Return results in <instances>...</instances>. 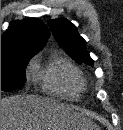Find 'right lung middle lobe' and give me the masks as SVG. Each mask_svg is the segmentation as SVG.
<instances>
[{
  "instance_id": "dd1d6c3e",
  "label": "right lung middle lobe",
  "mask_w": 123,
  "mask_h": 130,
  "mask_svg": "<svg viewBox=\"0 0 123 130\" xmlns=\"http://www.w3.org/2000/svg\"><path fill=\"white\" fill-rule=\"evenodd\" d=\"M34 54H21L1 59V91H15L24 86L25 67Z\"/></svg>"
}]
</instances>
